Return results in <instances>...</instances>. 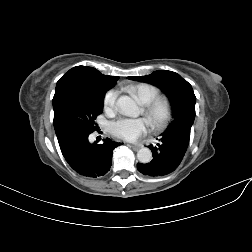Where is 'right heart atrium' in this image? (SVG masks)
Segmentation results:
<instances>
[{
	"label": "right heart atrium",
	"instance_id": "1",
	"mask_svg": "<svg viewBox=\"0 0 252 252\" xmlns=\"http://www.w3.org/2000/svg\"><path fill=\"white\" fill-rule=\"evenodd\" d=\"M118 92L116 90H109L106 92L103 99L104 111L107 114H113L115 110Z\"/></svg>",
	"mask_w": 252,
	"mask_h": 252
}]
</instances>
